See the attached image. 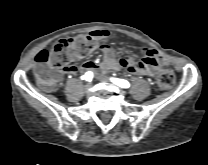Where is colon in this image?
I'll return each mask as SVG.
<instances>
[{"mask_svg": "<svg viewBox=\"0 0 208 165\" xmlns=\"http://www.w3.org/2000/svg\"><path fill=\"white\" fill-rule=\"evenodd\" d=\"M97 46V39L91 34L79 35L74 38L61 39L49 49L40 51L36 57L34 76L37 83L47 90L53 89L64 64L89 55ZM160 88L169 89L175 84V74L170 69H164L157 78Z\"/></svg>", "mask_w": 208, "mask_h": 165, "instance_id": "obj_1", "label": "colon"}]
</instances>
